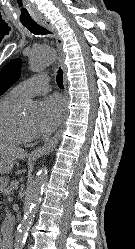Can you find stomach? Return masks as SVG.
Segmentation results:
<instances>
[{
  "label": "stomach",
  "instance_id": "stomach-1",
  "mask_svg": "<svg viewBox=\"0 0 135 249\" xmlns=\"http://www.w3.org/2000/svg\"><path fill=\"white\" fill-rule=\"evenodd\" d=\"M14 165V158L0 152V174H8Z\"/></svg>",
  "mask_w": 135,
  "mask_h": 249
}]
</instances>
